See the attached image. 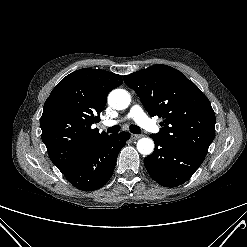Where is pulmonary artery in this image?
<instances>
[{
    "mask_svg": "<svg viewBox=\"0 0 247 247\" xmlns=\"http://www.w3.org/2000/svg\"><path fill=\"white\" fill-rule=\"evenodd\" d=\"M125 119H133L135 120L141 127L144 129L151 131V132H157L159 129L155 123H153L147 115L144 113L142 108L139 105H134L130 109L128 115ZM119 120H106L104 121L105 126H112L117 123H119Z\"/></svg>",
    "mask_w": 247,
    "mask_h": 247,
    "instance_id": "obj_1",
    "label": "pulmonary artery"
}]
</instances>
